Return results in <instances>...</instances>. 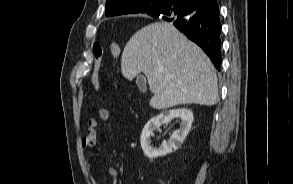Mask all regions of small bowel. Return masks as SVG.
Returning <instances> with one entry per match:
<instances>
[{
  "label": "small bowel",
  "mask_w": 293,
  "mask_h": 184,
  "mask_svg": "<svg viewBox=\"0 0 293 184\" xmlns=\"http://www.w3.org/2000/svg\"><path fill=\"white\" fill-rule=\"evenodd\" d=\"M113 115L108 109H100L99 110V119L101 121H110L112 120ZM99 119L97 118H90L88 121V129L86 134L81 140V146L84 149L91 148L95 145L97 141V134L98 129L100 127ZM87 166L89 169H91V164L87 163ZM108 175L111 179V184H117L118 183V170L114 167H110L108 169ZM92 184H99L98 180L96 178L92 179Z\"/></svg>",
  "instance_id": "1"
}]
</instances>
